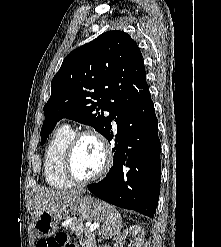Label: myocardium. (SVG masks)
Returning <instances> with one entry per match:
<instances>
[{
	"mask_svg": "<svg viewBox=\"0 0 221 247\" xmlns=\"http://www.w3.org/2000/svg\"><path fill=\"white\" fill-rule=\"evenodd\" d=\"M84 137H91L99 143L103 152L104 161L102 168L94 176L88 178H79L75 175L72 164H73V157L76 147L79 141ZM112 162H113V152L107 139L100 132L94 129H84L74 133L73 137L71 138L67 146V149L65 151V155L63 159V171L66 178L70 182L74 184L85 185L102 179L110 170L112 166Z\"/></svg>",
	"mask_w": 221,
	"mask_h": 247,
	"instance_id": "obj_1",
	"label": "myocardium"
}]
</instances>
